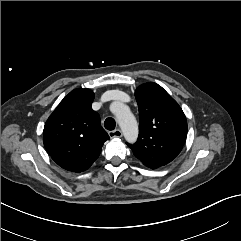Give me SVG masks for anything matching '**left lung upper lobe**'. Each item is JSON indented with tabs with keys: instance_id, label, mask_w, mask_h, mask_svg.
Returning <instances> with one entry per match:
<instances>
[{
	"instance_id": "5c2ea615",
	"label": "left lung upper lobe",
	"mask_w": 241,
	"mask_h": 241,
	"mask_svg": "<svg viewBox=\"0 0 241 241\" xmlns=\"http://www.w3.org/2000/svg\"><path fill=\"white\" fill-rule=\"evenodd\" d=\"M139 136L127 145L145 166L156 169L181 152L187 136V121L178 103L158 84L149 82L136 89Z\"/></svg>"
}]
</instances>
